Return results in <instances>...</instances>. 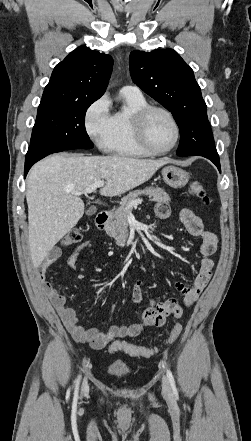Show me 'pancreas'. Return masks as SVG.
<instances>
[{
	"mask_svg": "<svg viewBox=\"0 0 251 441\" xmlns=\"http://www.w3.org/2000/svg\"><path fill=\"white\" fill-rule=\"evenodd\" d=\"M147 195L150 201L169 203V195L159 187H146L142 190H135L122 198L120 207L113 212L112 219L107 223L105 231L114 238L117 244H124L128 238V221L127 217L132 208L127 209V205L137 200L138 196Z\"/></svg>",
	"mask_w": 251,
	"mask_h": 441,
	"instance_id": "obj_1",
	"label": "pancreas"
}]
</instances>
